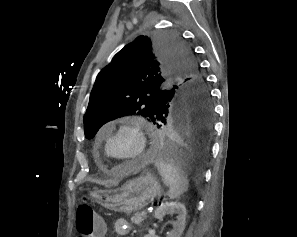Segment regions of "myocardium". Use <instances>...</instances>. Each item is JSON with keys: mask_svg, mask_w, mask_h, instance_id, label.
Segmentation results:
<instances>
[{"mask_svg": "<svg viewBox=\"0 0 297 237\" xmlns=\"http://www.w3.org/2000/svg\"><path fill=\"white\" fill-rule=\"evenodd\" d=\"M122 132H129L135 137L137 148L135 153H133L132 155L124 158H118L113 156L109 152V144L112 138L121 134ZM147 145H148L147 137H146L142 122L137 120H131L120 124L111 133H109V135L105 140L104 152L108 158L116 162L125 163V162L135 161L140 159L146 153Z\"/></svg>", "mask_w": 297, "mask_h": 237, "instance_id": "1", "label": "myocardium"}]
</instances>
